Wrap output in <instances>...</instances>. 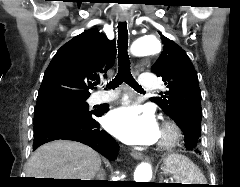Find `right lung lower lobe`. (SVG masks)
<instances>
[{
	"label": "right lung lower lobe",
	"instance_id": "obj_1",
	"mask_svg": "<svg viewBox=\"0 0 240 187\" xmlns=\"http://www.w3.org/2000/svg\"><path fill=\"white\" fill-rule=\"evenodd\" d=\"M107 111V106H101L88 116L72 117L51 112L34 119V150L49 141L73 140L92 147L109 160H115L119 146L106 131L100 130L97 121Z\"/></svg>",
	"mask_w": 240,
	"mask_h": 187
}]
</instances>
